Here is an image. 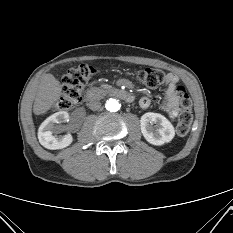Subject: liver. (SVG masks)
Instances as JSON below:
<instances>
[{"mask_svg": "<svg viewBox=\"0 0 233 233\" xmlns=\"http://www.w3.org/2000/svg\"><path fill=\"white\" fill-rule=\"evenodd\" d=\"M61 92V84L52 74L42 75L33 105L34 114L46 113L60 98Z\"/></svg>", "mask_w": 233, "mask_h": 233, "instance_id": "liver-1", "label": "liver"}]
</instances>
